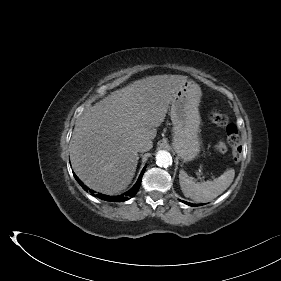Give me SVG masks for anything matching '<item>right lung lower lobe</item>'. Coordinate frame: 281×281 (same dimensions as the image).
<instances>
[{
	"instance_id": "obj_1",
	"label": "right lung lower lobe",
	"mask_w": 281,
	"mask_h": 281,
	"mask_svg": "<svg viewBox=\"0 0 281 281\" xmlns=\"http://www.w3.org/2000/svg\"><path fill=\"white\" fill-rule=\"evenodd\" d=\"M145 169H146V166L143 168V170H142V172H141V174L139 176V179L137 180L136 184L129 191H127L123 195H119V196H107V195H103V194H100V193L94 194L95 192L90 190L87 186H85L83 184V182L75 174H74V177H75L77 182L81 185V187L85 191H90L92 193L91 195L96 196V197H98V198H100L102 200H105V201L124 202L126 200H129L130 197H133L137 193V191H138V189L140 187L142 176H143V174L145 172Z\"/></svg>"
}]
</instances>
